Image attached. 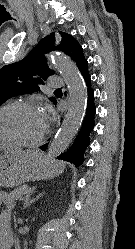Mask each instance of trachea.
I'll return each instance as SVG.
<instances>
[{"label": "trachea", "instance_id": "trachea-1", "mask_svg": "<svg viewBox=\"0 0 135 249\" xmlns=\"http://www.w3.org/2000/svg\"><path fill=\"white\" fill-rule=\"evenodd\" d=\"M55 91H61V89H56Z\"/></svg>", "mask_w": 135, "mask_h": 249}]
</instances>
